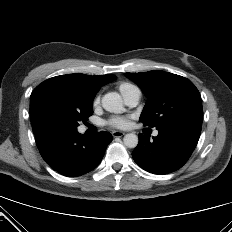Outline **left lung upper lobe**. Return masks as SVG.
<instances>
[{"label": "left lung upper lobe", "instance_id": "5c2ea615", "mask_svg": "<svg viewBox=\"0 0 232 232\" xmlns=\"http://www.w3.org/2000/svg\"><path fill=\"white\" fill-rule=\"evenodd\" d=\"M125 76L138 84L148 98L140 117L144 126L158 128L179 120H202L200 93L187 78L164 71L125 73Z\"/></svg>", "mask_w": 232, "mask_h": 232}]
</instances>
